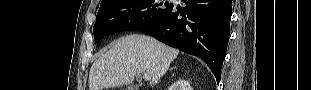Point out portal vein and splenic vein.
Returning <instances> with one entry per match:
<instances>
[{
    "instance_id": "obj_1",
    "label": "portal vein and splenic vein",
    "mask_w": 311,
    "mask_h": 90,
    "mask_svg": "<svg viewBox=\"0 0 311 90\" xmlns=\"http://www.w3.org/2000/svg\"><path fill=\"white\" fill-rule=\"evenodd\" d=\"M144 80L149 81L151 79L149 74H144L143 75Z\"/></svg>"
}]
</instances>
